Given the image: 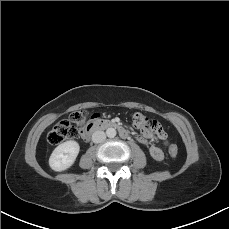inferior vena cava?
<instances>
[{
    "mask_svg": "<svg viewBox=\"0 0 229 229\" xmlns=\"http://www.w3.org/2000/svg\"><path fill=\"white\" fill-rule=\"evenodd\" d=\"M106 139V134L103 131H95L92 135V141L94 143H101Z\"/></svg>",
    "mask_w": 229,
    "mask_h": 229,
    "instance_id": "obj_1",
    "label": "inferior vena cava"
}]
</instances>
